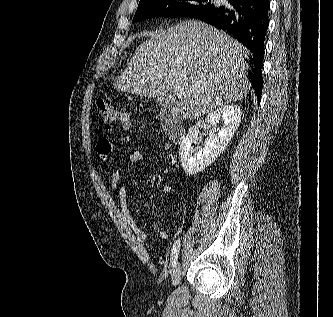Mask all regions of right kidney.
<instances>
[{"label":"right kidney","mask_w":333,"mask_h":317,"mask_svg":"<svg viewBox=\"0 0 333 317\" xmlns=\"http://www.w3.org/2000/svg\"><path fill=\"white\" fill-rule=\"evenodd\" d=\"M242 118L241 108L237 105H225L209 113L205 119L206 127L215 129L220 120L223 127L211 133L205 144L193 148L199 134V128H189L187 136L180 145L179 157L183 170L188 175H196L211 165L231 142Z\"/></svg>","instance_id":"ca27d5eb"}]
</instances>
